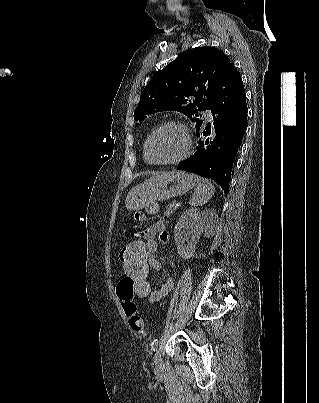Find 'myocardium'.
<instances>
[{
	"label": "myocardium",
	"instance_id": "f54148a6",
	"mask_svg": "<svg viewBox=\"0 0 319 403\" xmlns=\"http://www.w3.org/2000/svg\"><path fill=\"white\" fill-rule=\"evenodd\" d=\"M169 126L177 127L183 132L184 137H185L184 150L179 156H177L176 158H173V159L163 160V161L153 160L150 157V144L152 142V139L157 134V132H159L161 129H163L165 127H169ZM192 146H193V139H192V136H191V133H190L188 127L180 121L167 120V121L162 122L158 126H156L150 132V134L148 135V137L146 139L145 145H144V153H145L146 160L151 164H155V165L177 164V163H180V162L186 160L190 156L191 151H192Z\"/></svg>",
	"mask_w": 319,
	"mask_h": 403
}]
</instances>
